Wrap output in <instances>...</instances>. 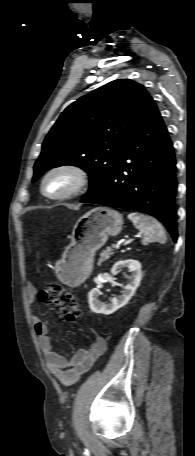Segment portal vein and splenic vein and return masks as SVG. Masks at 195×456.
<instances>
[{"instance_id": "portal-vein-and-splenic-vein-1", "label": "portal vein and splenic vein", "mask_w": 195, "mask_h": 456, "mask_svg": "<svg viewBox=\"0 0 195 456\" xmlns=\"http://www.w3.org/2000/svg\"><path fill=\"white\" fill-rule=\"evenodd\" d=\"M119 246H120L119 243H114V244L111 245L112 248H118Z\"/></svg>"}]
</instances>
